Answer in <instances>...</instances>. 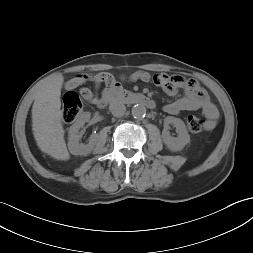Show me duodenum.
Listing matches in <instances>:
<instances>
[{"label": "duodenum", "instance_id": "1", "mask_svg": "<svg viewBox=\"0 0 253 253\" xmlns=\"http://www.w3.org/2000/svg\"><path fill=\"white\" fill-rule=\"evenodd\" d=\"M122 102L125 104H140L149 109L155 108V101L141 93H134L124 90L119 84L112 83L105 88L103 95L100 100L99 107L103 108L108 103Z\"/></svg>", "mask_w": 253, "mask_h": 253}]
</instances>
